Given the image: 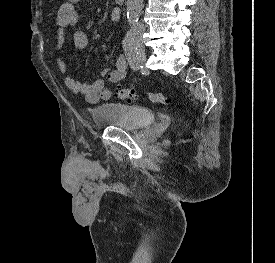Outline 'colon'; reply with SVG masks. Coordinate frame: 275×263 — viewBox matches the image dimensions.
<instances>
[{
    "mask_svg": "<svg viewBox=\"0 0 275 263\" xmlns=\"http://www.w3.org/2000/svg\"><path fill=\"white\" fill-rule=\"evenodd\" d=\"M116 96L124 101H133L138 99L139 97H145L147 100H149L152 103L157 104H169L170 98L159 93H154L151 91H145L142 93H139L135 88H118L116 91Z\"/></svg>",
    "mask_w": 275,
    "mask_h": 263,
    "instance_id": "5ec220e1",
    "label": "colon"
}]
</instances>
